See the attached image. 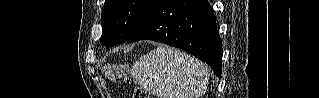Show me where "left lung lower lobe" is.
<instances>
[{
	"mask_svg": "<svg viewBox=\"0 0 319 98\" xmlns=\"http://www.w3.org/2000/svg\"><path fill=\"white\" fill-rule=\"evenodd\" d=\"M143 39L181 48L205 61L221 78L222 44L207 0H158L127 42Z\"/></svg>",
	"mask_w": 319,
	"mask_h": 98,
	"instance_id": "obj_1",
	"label": "left lung lower lobe"
}]
</instances>
